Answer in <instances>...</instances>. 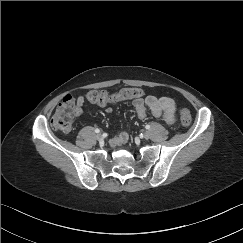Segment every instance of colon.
I'll use <instances>...</instances> for the list:
<instances>
[{"instance_id": "obj_1", "label": "colon", "mask_w": 243, "mask_h": 243, "mask_svg": "<svg viewBox=\"0 0 243 243\" xmlns=\"http://www.w3.org/2000/svg\"><path fill=\"white\" fill-rule=\"evenodd\" d=\"M141 97H143V91L141 89L124 88L115 93L92 91L87 95V100L92 103H111L127 99H138ZM77 110V102L72 96L64 98L51 119L52 128L62 133H69L72 130L73 118ZM180 120L183 126H190L192 118L187 109H182L180 111Z\"/></svg>"}]
</instances>
